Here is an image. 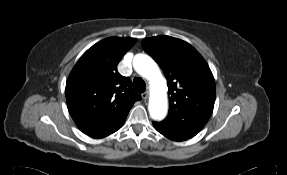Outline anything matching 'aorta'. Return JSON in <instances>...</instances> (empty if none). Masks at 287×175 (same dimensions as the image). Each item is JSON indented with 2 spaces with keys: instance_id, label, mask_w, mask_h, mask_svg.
Listing matches in <instances>:
<instances>
[{
  "instance_id": "762f6f07",
  "label": "aorta",
  "mask_w": 287,
  "mask_h": 175,
  "mask_svg": "<svg viewBox=\"0 0 287 175\" xmlns=\"http://www.w3.org/2000/svg\"><path fill=\"white\" fill-rule=\"evenodd\" d=\"M134 70L150 81L151 96L148 110L151 118L156 121L163 120L168 111L166 79L156 62L146 54H137L133 59Z\"/></svg>"
}]
</instances>
